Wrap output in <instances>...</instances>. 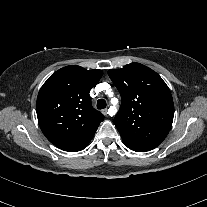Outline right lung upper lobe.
Here are the masks:
<instances>
[{
  "instance_id": "cb5924a9",
  "label": "right lung upper lobe",
  "mask_w": 207,
  "mask_h": 207,
  "mask_svg": "<svg viewBox=\"0 0 207 207\" xmlns=\"http://www.w3.org/2000/svg\"><path fill=\"white\" fill-rule=\"evenodd\" d=\"M102 74L101 70L70 65L52 74L40 89L36 104L39 125L58 148L79 151L93 138L104 116L92 107L89 92Z\"/></svg>"
}]
</instances>
